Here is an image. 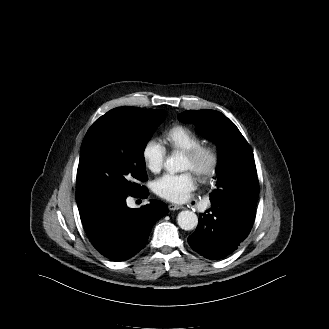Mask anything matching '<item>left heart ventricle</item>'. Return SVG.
<instances>
[{
	"instance_id": "b2bd125f",
	"label": "left heart ventricle",
	"mask_w": 329,
	"mask_h": 329,
	"mask_svg": "<svg viewBox=\"0 0 329 329\" xmlns=\"http://www.w3.org/2000/svg\"><path fill=\"white\" fill-rule=\"evenodd\" d=\"M182 168H183V170L194 171L195 166H194L193 162L188 157L185 156Z\"/></svg>"
}]
</instances>
